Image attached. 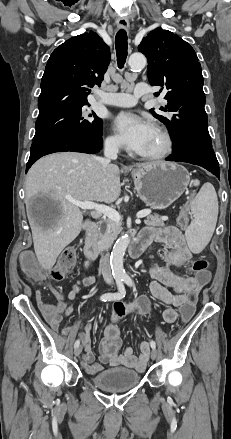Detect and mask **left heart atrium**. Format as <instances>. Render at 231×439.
Segmentation results:
<instances>
[{"label":"left heart atrium","mask_w":231,"mask_h":439,"mask_svg":"<svg viewBox=\"0 0 231 439\" xmlns=\"http://www.w3.org/2000/svg\"><path fill=\"white\" fill-rule=\"evenodd\" d=\"M113 128L123 145L137 153L141 152L154 130L149 121L129 112L118 114Z\"/></svg>","instance_id":"39dd6f15"}]
</instances>
